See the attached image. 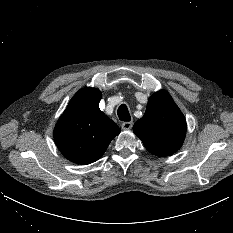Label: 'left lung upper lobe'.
Here are the masks:
<instances>
[{
    "label": "left lung upper lobe",
    "instance_id": "5c2ea615",
    "mask_svg": "<svg viewBox=\"0 0 233 233\" xmlns=\"http://www.w3.org/2000/svg\"><path fill=\"white\" fill-rule=\"evenodd\" d=\"M146 149L156 156H169L183 144L186 120L165 90L149 98L144 116L133 127Z\"/></svg>",
    "mask_w": 233,
    "mask_h": 233
}]
</instances>
